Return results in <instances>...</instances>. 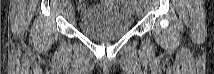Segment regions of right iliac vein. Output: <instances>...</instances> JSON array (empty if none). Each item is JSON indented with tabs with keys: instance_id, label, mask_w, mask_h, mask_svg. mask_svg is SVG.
I'll return each mask as SVG.
<instances>
[{
	"instance_id": "63e3f726",
	"label": "right iliac vein",
	"mask_w": 214,
	"mask_h": 74,
	"mask_svg": "<svg viewBox=\"0 0 214 74\" xmlns=\"http://www.w3.org/2000/svg\"><path fill=\"white\" fill-rule=\"evenodd\" d=\"M74 9L72 8V7H70L69 9H68V15H69V18L70 19H73L74 18Z\"/></svg>"
}]
</instances>
